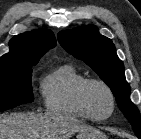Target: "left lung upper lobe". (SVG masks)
I'll return each mask as SVG.
<instances>
[{"label": "left lung upper lobe", "mask_w": 141, "mask_h": 139, "mask_svg": "<svg viewBox=\"0 0 141 139\" xmlns=\"http://www.w3.org/2000/svg\"><path fill=\"white\" fill-rule=\"evenodd\" d=\"M61 46L89 65L112 90L117 104L136 135H141L138 108L130 101V86L125 79L123 62L113 42L101 35L94 25L81 26L58 34Z\"/></svg>", "instance_id": "1"}]
</instances>
